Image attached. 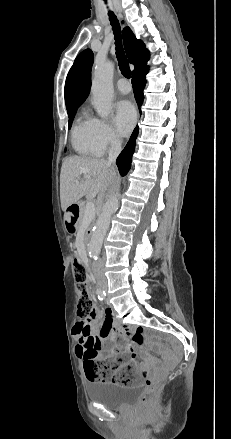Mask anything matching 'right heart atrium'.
<instances>
[{"label":"right heart atrium","mask_w":231,"mask_h":439,"mask_svg":"<svg viewBox=\"0 0 231 439\" xmlns=\"http://www.w3.org/2000/svg\"><path fill=\"white\" fill-rule=\"evenodd\" d=\"M92 120L93 139L101 153L120 143L116 131L108 122L98 118H93Z\"/></svg>","instance_id":"right-heart-atrium-1"}]
</instances>
